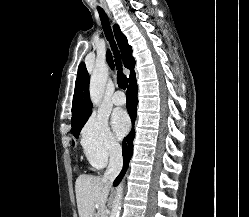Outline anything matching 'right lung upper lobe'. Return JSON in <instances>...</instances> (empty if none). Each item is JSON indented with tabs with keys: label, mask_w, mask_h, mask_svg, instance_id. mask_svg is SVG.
<instances>
[{
	"label": "right lung upper lobe",
	"mask_w": 249,
	"mask_h": 217,
	"mask_svg": "<svg viewBox=\"0 0 249 217\" xmlns=\"http://www.w3.org/2000/svg\"><path fill=\"white\" fill-rule=\"evenodd\" d=\"M114 33L122 53L124 66L130 69L129 79L135 74V61L132 57V47L128 44L125 35L121 32L118 25H114ZM107 62L110 67H113V59L110 51H107ZM92 103L89 97V74L85 63L79 64L77 78L75 82V91L72 104V119L71 125L78 123L85 117L91 114Z\"/></svg>",
	"instance_id": "right-lung-upper-lobe-1"
}]
</instances>
